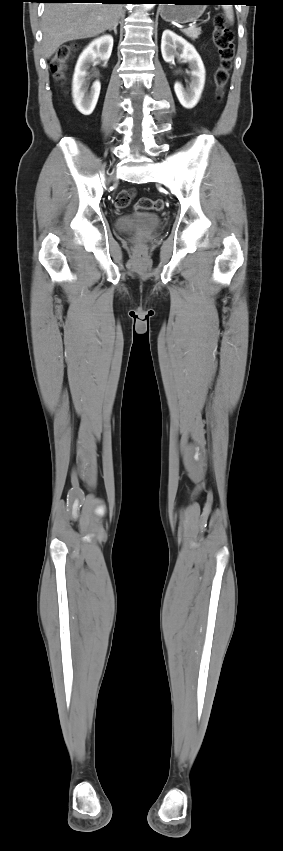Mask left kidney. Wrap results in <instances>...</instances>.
<instances>
[{"label":"left kidney","instance_id":"left-kidney-1","mask_svg":"<svg viewBox=\"0 0 283 851\" xmlns=\"http://www.w3.org/2000/svg\"><path fill=\"white\" fill-rule=\"evenodd\" d=\"M161 53L165 62L170 63L178 56L190 68V84L184 88L176 82L174 91L183 107L192 109L198 103L205 84V68L200 55L193 45L170 30H165L161 39Z\"/></svg>","mask_w":283,"mask_h":851}]
</instances>
